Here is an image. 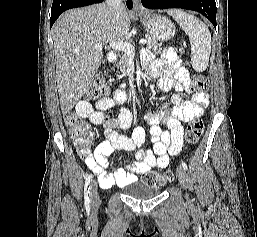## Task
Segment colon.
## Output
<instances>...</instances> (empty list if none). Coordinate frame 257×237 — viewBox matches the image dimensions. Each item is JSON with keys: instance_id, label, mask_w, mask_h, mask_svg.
Returning a JSON list of instances; mask_svg holds the SVG:
<instances>
[{"instance_id": "5ec220e1", "label": "colon", "mask_w": 257, "mask_h": 237, "mask_svg": "<svg viewBox=\"0 0 257 237\" xmlns=\"http://www.w3.org/2000/svg\"><path fill=\"white\" fill-rule=\"evenodd\" d=\"M192 88L197 92L207 91L209 89L208 78L203 74H195L192 79ZM107 91L108 88L104 79L101 77H97L88 86L85 97L89 101H99L104 98ZM64 122L65 125L68 127L69 135L71 138L83 144L86 143V136L88 132V124L86 121L82 120L80 116H78L76 113L69 112L65 114ZM203 129L204 124L199 117L192 119L188 123L185 131L186 142L190 145L196 144L203 133ZM172 178L173 173L170 171L165 173L149 172L143 177V182L148 185L160 188Z\"/></svg>"}]
</instances>
